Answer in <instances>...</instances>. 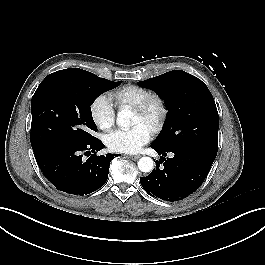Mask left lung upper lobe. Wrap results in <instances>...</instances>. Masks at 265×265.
<instances>
[{"label":"left lung upper lobe","instance_id":"5c2ea615","mask_svg":"<svg viewBox=\"0 0 265 265\" xmlns=\"http://www.w3.org/2000/svg\"><path fill=\"white\" fill-rule=\"evenodd\" d=\"M138 84L158 93L169 110L152 146L164 150L191 146L217 155L219 116L212 94L200 79L173 70Z\"/></svg>","mask_w":265,"mask_h":265}]
</instances>
